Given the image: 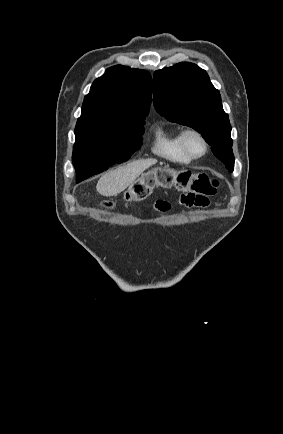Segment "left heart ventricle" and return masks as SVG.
Here are the masks:
<instances>
[{
  "mask_svg": "<svg viewBox=\"0 0 283 434\" xmlns=\"http://www.w3.org/2000/svg\"><path fill=\"white\" fill-rule=\"evenodd\" d=\"M190 150L194 153H199L202 150V144L200 140L195 136H190L187 140Z\"/></svg>",
  "mask_w": 283,
  "mask_h": 434,
  "instance_id": "left-heart-ventricle-1",
  "label": "left heart ventricle"
}]
</instances>
